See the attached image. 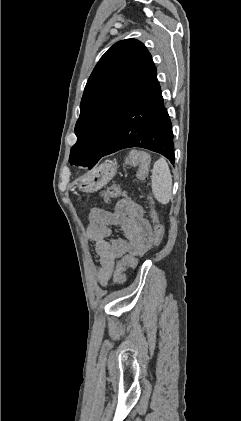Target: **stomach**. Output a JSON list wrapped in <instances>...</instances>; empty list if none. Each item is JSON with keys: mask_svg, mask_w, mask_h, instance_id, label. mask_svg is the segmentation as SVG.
Masks as SVG:
<instances>
[{"mask_svg": "<svg viewBox=\"0 0 241 421\" xmlns=\"http://www.w3.org/2000/svg\"><path fill=\"white\" fill-rule=\"evenodd\" d=\"M116 164L105 162L79 180L83 192H94L106 185L116 174Z\"/></svg>", "mask_w": 241, "mask_h": 421, "instance_id": "1", "label": "stomach"}]
</instances>
